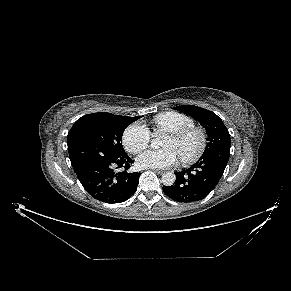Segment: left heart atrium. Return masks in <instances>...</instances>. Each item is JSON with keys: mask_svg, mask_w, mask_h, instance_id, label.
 I'll use <instances>...</instances> for the list:
<instances>
[{"mask_svg": "<svg viewBox=\"0 0 291 291\" xmlns=\"http://www.w3.org/2000/svg\"><path fill=\"white\" fill-rule=\"evenodd\" d=\"M178 158L174 148L146 150L138 156L137 163L144 168H166L176 163Z\"/></svg>", "mask_w": 291, "mask_h": 291, "instance_id": "left-heart-atrium-1", "label": "left heart atrium"}]
</instances>
